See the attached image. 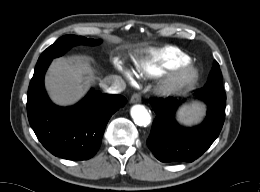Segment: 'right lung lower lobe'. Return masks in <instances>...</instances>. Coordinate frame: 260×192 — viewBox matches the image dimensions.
Returning <instances> with one entry per match:
<instances>
[{"label": "right lung lower lobe", "mask_w": 260, "mask_h": 192, "mask_svg": "<svg viewBox=\"0 0 260 192\" xmlns=\"http://www.w3.org/2000/svg\"><path fill=\"white\" fill-rule=\"evenodd\" d=\"M50 62L35 67L29 85L27 114L30 125L53 155L70 160L89 159L101 145L108 120L125 105L126 98L92 89L77 105L58 107L44 89V75Z\"/></svg>", "instance_id": "obj_1"}]
</instances>
